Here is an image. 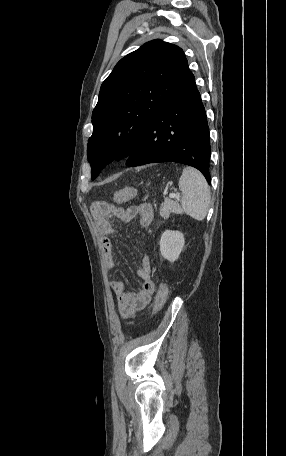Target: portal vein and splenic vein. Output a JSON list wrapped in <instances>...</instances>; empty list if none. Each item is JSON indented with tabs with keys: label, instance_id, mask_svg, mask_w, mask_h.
I'll list each match as a JSON object with an SVG mask.
<instances>
[{
	"label": "portal vein and splenic vein",
	"instance_id": "obj_1",
	"mask_svg": "<svg viewBox=\"0 0 286 456\" xmlns=\"http://www.w3.org/2000/svg\"><path fill=\"white\" fill-rule=\"evenodd\" d=\"M179 197H180V194H178V193H171V194L169 195V198H171V199H173V198H179Z\"/></svg>",
	"mask_w": 286,
	"mask_h": 456
}]
</instances>
